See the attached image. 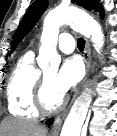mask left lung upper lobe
<instances>
[{
	"label": "left lung upper lobe",
	"instance_id": "1",
	"mask_svg": "<svg viewBox=\"0 0 117 136\" xmlns=\"http://www.w3.org/2000/svg\"><path fill=\"white\" fill-rule=\"evenodd\" d=\"M77 5L84 7L88 11L98 9L99 0H73ZM48 1L47 0H36L33 2L29 8L27 9L16 33L13 38L11 52L15 50L18 43L21 39L34 27L40 16L43 14L45 9L47 8ZM101 17H104L103 10L100 9Z\"/></svg>",
	"mask_w": 117,
	"mask_h": 136
}]
</instances>
